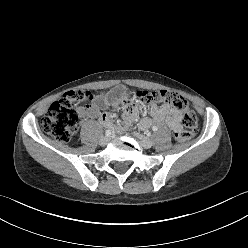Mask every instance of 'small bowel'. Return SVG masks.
I'll return each mask as SVG.
<instances>
[{
  "instance_id": "c3829d8e",
  "label": "small bowel",
  "mask_w": 248,
  "mask_h": 248,
  "mask_svg": "<svg viewBox=\"0 0 248 248\" xmlns=\"http://www.w3.org/2000/svg\"><path fill=\"white\" fill-rule=\"evenodd\" d=\"M129 97L128 89L123 84H120L113 87L109 94L98 97L95 104L84 110L82 115L88 118L98 117L104 127L117 129L118 131H124L129 123L135 120H138V125L141 129H147L153 123H166L175 133L182 130L181 115L168 104L153 106L149 117L138 119L136 101L129 99ZM109 106L117 113L124 112L123 122L115 124L109 113L100 114V110Z\"/></svg>"
}]
</instances>
